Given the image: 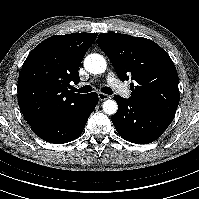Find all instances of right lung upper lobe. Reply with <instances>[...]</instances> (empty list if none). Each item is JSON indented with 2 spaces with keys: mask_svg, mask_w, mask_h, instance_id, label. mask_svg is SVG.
<instances>
[{
  "mask_svg": "<svg viewBox=\"0 0 199 199\" xmlns=\"http://www.w3.org/2000/svg\"><path fill=\"white\" fill-rule=\"evenodd\" d=\"M97 33L52 36L37 45L18 78V104L32 127L77 105L86 94L68 90L78 84L79 66Z\"/></svg>",
  "mask_w": 199,
  "mask_h": 199,
  "instance_id": "obj_1",
  "label": "right lung upper lobe"
}]
</instances>
